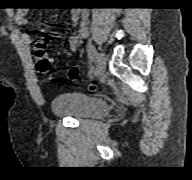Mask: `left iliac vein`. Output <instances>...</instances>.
Masks as SVG:
<instances>
[{"label": "left iliac vein", "instance_id": "obj_1", "mask_svg": "<svg viewBox=\"0 0 192 180\" xmlns=\"http://www.w3.org/2000/svg\"><path fill=\"white\" fill-rule=\"evenodd\" d=\"M106 69V58L105 55L100 52L98 53L96 57V70H95V75L100 76L105 72Z\"/></svg>", "mask_w": 192, "mask_h": 180}]
</instances>
